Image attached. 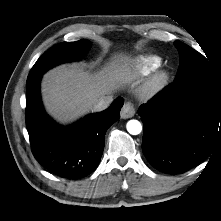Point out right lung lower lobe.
Returning a JSON list of instances; mask_svg holds the SVG:
<instances>
[{"instance_id":"obj_1","label":"right lung lower lobe","mask_w":221,"mask_h":221,"mask_svg":"<svg viewBox=\"0 0 221 221\" xmlns=\"http://www.w3.org/2000/svg\"><path fill=\"white\" fill-rule=\"evenodd\" d=\"M40 80L26 85V126L36 160L49 172L66 179H80L98 166L107 129L120 118L123 99H116L103 112L62 127L44 111Z\"/></svg>"}]
</instances>
